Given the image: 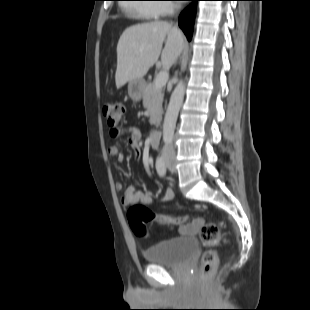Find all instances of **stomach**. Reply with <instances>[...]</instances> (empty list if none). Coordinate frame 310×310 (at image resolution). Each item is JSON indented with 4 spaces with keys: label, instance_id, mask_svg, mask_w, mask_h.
Wrapping results in <instances>:
<instances>
[{
    "label": "stomach",
    "instance_id": "obj_1",
    "mask_svg": "<svg viewBox=\"0 0 310 310\" xmlns=\"http://www.w3.org/2000/svg\"><path fill=\"white\" fill-rule=\"evenodd\" d=\"M144 81L142 79H136L128 82V94L131 99L139 101L141 99L144 90Z\"/></svg>",
    "mask_w": 310,
    "mask_h": 310
}]
</instances>
